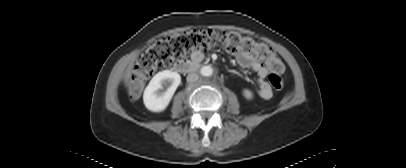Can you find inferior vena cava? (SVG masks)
I'll use <instances>...</instances> for the list:
<instances>
[{
	"label": "inferior vena cava",
	"mask_w": 406,
	"mask_h": 168,
	"mask_svg": "<svg viewBox=\"0 0 406 168\" xmlns=\"http://www.w3.org/2000/svg\"><path fill=\"white\" fill-rule=\"evenodd\" d=\"M198 78H199L198 74L192 72V73H189V74L187 75V78H186V79H187V82L193 83V82H196V81L198 80Z\"/></svg>",
	"instance_id": "obj_1"
}]
</instances>
